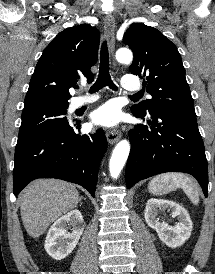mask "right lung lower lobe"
<instances>
[{
	"label": "right lung lower lobe",
	"instance_id": "98d812e1",
	"mask_svg": "<svg viewBox=\"0 0 215 274\" xmlns=\"http://www.w3.org/2000/svg\"><path fill=\"white\" fill-rule=\"evenodd\" d=\"M80 123L68 122L39 134L15 149L13 192L37 178H58L79 184L95 196L100 161L107 149L103 130L76 134Z\"/></svg>",
	"mask_w": 215,
	"mask_h": 274
}]
</instances>
